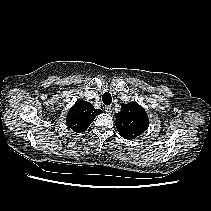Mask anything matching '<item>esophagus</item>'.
<instances>
[{"mask_svg": "<svg viewBox=\"0 0 211 211\" xmlns=\"http://www.w3.org/2000/svg\"><path fill=\"white\" fill-rule=\"evenodd\" d=\"M105 112H107V113H111L112 111H111V106H105Z\"/></svg>", "mask_w": 211, "mask_h": 211, "instance_id": "1", "label": "esophagus"}]
</instances>
